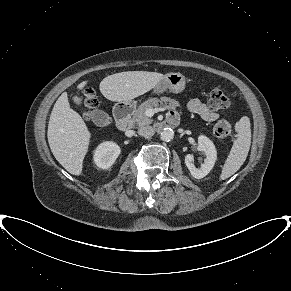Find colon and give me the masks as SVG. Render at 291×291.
I'll use <instances>...</instances> for the list:
<instances>
[{
  "label": "colon",
  "mask_w": 291,
  "mask_h": 291,
  "mask_svg": "<svg viewBox=\"0 0 291 291\" xmlns=\"http://www.w3.org/2000/svg\"><path fill=\"white\" fill-rule=\"evenodd\" d=\"M209 106L214 110H220L227 108L230 104L228 96L220 89H214L211 91L209 100ZM97 98L92 89H87L84 93V116L90 117V112L97 106ZM232 126L227 120H220L214 126V133L220 138H224L230 135Z\"/></svg>",
  "instance_id": "obj_1"
}]
</instances>
